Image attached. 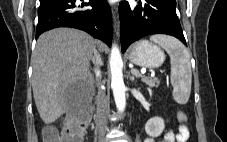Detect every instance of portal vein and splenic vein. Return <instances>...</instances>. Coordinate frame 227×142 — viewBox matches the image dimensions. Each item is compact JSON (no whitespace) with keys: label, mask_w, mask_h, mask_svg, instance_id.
<instances>
[{"label":"portal vein and splenic vein","mask_w":227,"mask_h":142,"mask_svg":"<svg viewBox=\"0 0 227 142\" xmlns=\"http://www.w3.org/2000/svg\"><path fill=\"white\" fill-rule=\"evenodd\" d=\"M132 73H133L134 75H137V74H145V71H141V73H139L137 70L132 69Z\"/></svg>","instance_id":"portal-vein-and-splenic-vein-1"}]
</instances>
